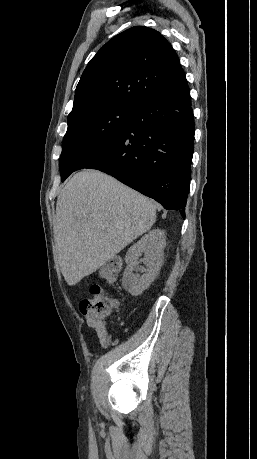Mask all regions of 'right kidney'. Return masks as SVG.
<instances>
[{
  "mask_svg": "<svg viewBox=\"0 0 257 459\" xmlns=\"http://www.w3.org/2000/svg\"><path fill=\"white\" fill-rule=\"evenodd\" d=\"M166 245L165 234L160 229H153L132 245L125 256L127 264L122 278V286L133 296L140 295L157 277L164 258ZM144 254L143 262L146 269L139 266V257ZM134 271L143 273L134 274Z\"/></svg>",
  "mask_w": 257,
  "mask_h": 459,
  "instance_id": "obj_1",
  "label": "right kidney"
}]
</instances>
